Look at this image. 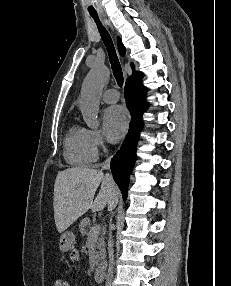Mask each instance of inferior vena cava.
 Instances as JSON below:
<instances>
[{
  "mask_svg": "<svg viewBox=\"0 0 231 286\" xmlns=\"http://www.w3.org/2000/svg\"><path fill=\"white\" fill-rule=\"evenodd\" d=\"M110 162H111V157L107 158L105 162L103 163L102 169H109L110 168ZM107 177H109L111 180L112 176L107 173ZM113 240L111 239L109 241V265H108V271H107V276H106V285L105 286H112V278H113V269H114V249H113Z\"/></svg>",
  "mask_w": 231,
  "mask_h": 286,
  "instance_id": "obj_1",
  "label": "inferior vena cava"
}]
</instances>
